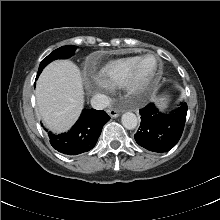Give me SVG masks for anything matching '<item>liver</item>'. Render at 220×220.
I'll return each instance as SVG.
<instances>
[{"label":"liver","instance_id":"liver-1","mask_svg":"<svg viewBox=\"0 0 220 220\" xmlns=\"http://www.w3.org/2000/svg\"><path fill=\"white\" fill-rule=\"evenodd\" d=\"M35 96L46 127L54 132L67 131L84 105L79 68L68 60L53 61L40 74Z\"/></svg>","mask_w":220,"mask_h":220}]
</instances>
